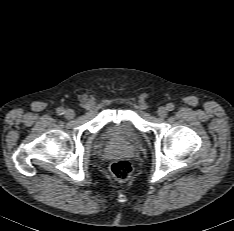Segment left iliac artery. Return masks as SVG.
Segmentation results:
<instances>
[{"label":"left iliac artery","instance_id":"left-iliac-artery-1","mask_svg":"<svg viewBox=\"0 0 234 231\" xmlns=\"http://www.w3.org/2000/svg\"><path fill=\"white\" fill-rule=\"evenodd\" d=\"M166 108H167L168 111H172L174 109V105L169 103V104H167Z\"/></svg>","mask_w":234,"mask_h":231}]
</instances>
